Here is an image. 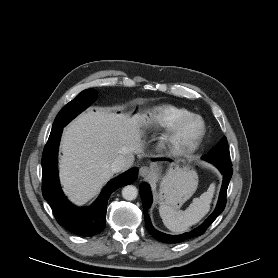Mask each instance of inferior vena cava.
Wrapping results in <instances>:
<instances>
[{
    "mask_svg": "<svg viewBox=\"0 0 278 278\" xmlns=\"http://www.w3.org/2000/svg\"><path fill=\"white\" fill-rule=\"evenodd\" d=\"M128 166L127 160L124 156L119 155L115 158V160L111 163V170L116 173L126 169Z\"/></svg>",
    "mask_w": 278,
    "mask_h": 278,
    "instance_id": "inferior-vena-cava-1",
    "label": "inferior vena cava"
}]
</instances>
